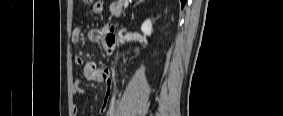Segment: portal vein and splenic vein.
<instances>
[{"instance_id":"portal-vein-and-splenic-vein-1","label":"portal vein and splenic vein","mask_w":283,"mask_h":116,"mask_svg":"<svg viewBox=\"0 0 283 116\" xmlns=\"http://www.w3.org/2000/svg\"><path fill=\"white\" fill-rule=\"evenodd\" d=\"M124 7H125V8H127V7H128V3H127V2L124 4Z\"/></svg>"}]
</instances>
